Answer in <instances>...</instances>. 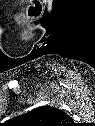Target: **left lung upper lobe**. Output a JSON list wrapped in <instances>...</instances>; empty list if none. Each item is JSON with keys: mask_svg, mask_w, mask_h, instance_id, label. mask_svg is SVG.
I'll return each instance as SVG.
<instances>
[{"mask_svg": "<svg viewBox=\"0 0 95 126\" xmlns=\"http://www.w3.org/2000/svg\"><path fill=\"white\" fill-rule=\"evenodd\" d=\"M71 118L62 110L41 106L16 118L20 126H69Z\"/></svg>", "mask_w": 95, "mask_h": 126, "instance_id": "1", "label": "left lung upper lobe"}]
</instances>
